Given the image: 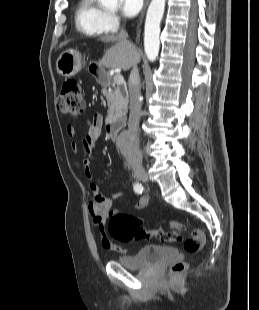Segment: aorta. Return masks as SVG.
<instances>
[{"instance_id": "aorta-1", "label": "aorta", "mask_w": 259, "mask_h": 310, "mask_svg": "<svg viewBox=\"0 0 259 310\" xmlns=\"http://www.w3.org/2000/svg\"><path fill=\"white\" fill-rule=\"evenodd\" d=\"M107 9L115 10L118 0H99ZM165 9V0H152L146 15L144 30V48L149 61H155L160 47V22ZM122 144L125 148L133 145V140L129 136L122 138Z\"/></svg>"}]
</instances>
